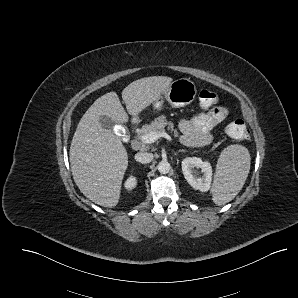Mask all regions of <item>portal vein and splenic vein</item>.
I'll return each mask as SVG.
<instances>
[{
    "instance_id": "18ae733b",
    "label": "portal vein and splenic vein",
    "mask_w": 298,
    "mask_h": 298,
    "mask_svg": "<svg viewBox=\"0 0 298 298\" xmlns=\"http://www.w3.org/2000/svg\"><path fill=\"white\" fill-rule=\"evenodd\" d=\"M160 138H165L168 141H172V137L166 132H149L145 135L140 136V140L144 144H151L159 140Z\"/></svg>"
}]
</instances>
